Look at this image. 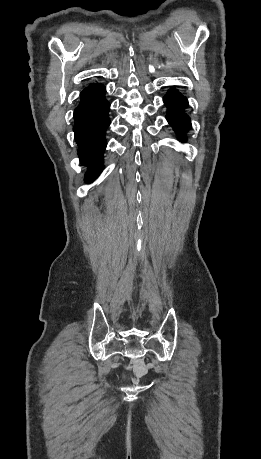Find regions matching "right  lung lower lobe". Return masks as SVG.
Returning <instances> with one entry per match:
<instances>
[{"mask_svg":"<svg viewBox=\"0 0 261 459\" xmlns=\"http://www.w3.org/2000/svg\"><path fill=\"white\" fill-rule=\"evenodd\" d=\"M106 89L96 84L81 94V101L74 111L75 140L79 157L88 166L85 180L91 182L102 171L103 152L106 148L105 132L110 124V104L105 99Z\"/></svg>","mask_w":261,"mask_h":459,"instance_id":"98d812e1","label":"right lung lower lobe"}]
</instances>
